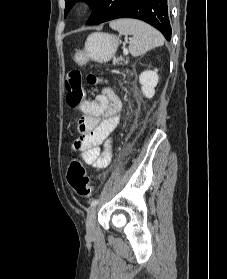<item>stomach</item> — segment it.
Here are the masks:
<instances>
[{
  "mask_svg": "<svg viewBox=\"0 0 227 279\" xmlns=\"http://www.w3.org/2000/svg\"><path fill=\"white\" fill-rule=\"evenodd\" d=\"M120 44L117 36L108 33L95 32L86 39L83 50H78L74 55V60L79 65L86 64L89 60L106 63L110 61Z\"/></svg>",
  "mask_w": 227,
  "mask_h": 279,
  "instance_id": "stomach-1",
  "label": "stomach"
}]
</instances>
